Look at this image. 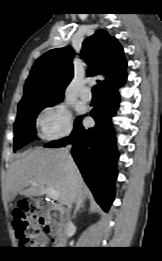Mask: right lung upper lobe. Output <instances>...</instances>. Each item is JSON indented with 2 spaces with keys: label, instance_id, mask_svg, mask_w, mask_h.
<instances>
[{
  "label": "right lung upper lobe",
  "instance_id": "right-lung-upper-lobe-1",
  "mask_svg": "<svg viewBox=\"0 0 162 261\" xmlns=\"http://www.w3.org/2000/svg\"><path fill=\"white\" fill-rule=\"evenodd\" d=\"M81 57L88 65L87 76H106L105 80L98 81L101 92L124 84L127 61L123 48L106 30H97L84 40ZM72 59L73 50L69 46L49 50L41 56L26 80L22 100L35 96L63 97L66 86L73 78Z\"/></svg>",
  "mask_w": 162,
  "mask_h": 261
}]
</instances>
